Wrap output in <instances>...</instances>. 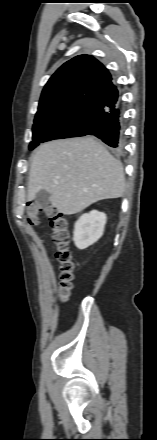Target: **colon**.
Returning <instances> with one entry per match:
<instances>
[{
  "mask_svg": "<svg viewBox=\"0 0 157 440\" xmlns=\"http://www.w3.org/2000/svg\"><path fill=\"white\" fill-rule=\"evenodd\" d=\"M41 214L48 217L51 238L57 247L56 258L60 264L59 296L66 301L72 289L74 263L69 250L70 232L67 218L53 207L43 208L37 202L27 204V219L31 225H36Z\"/></svg>",
  "mask_w": 157,
  "mask_h": 440,
  "instance_id": "1",
  "label": "colon"
}]
</instances>
